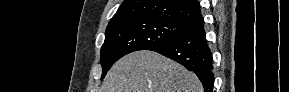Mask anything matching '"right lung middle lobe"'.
<instances>
[{
  "instance_id": "1",
  "label": "right lung middle lobe",
  "mask_w": 289,
  "mask_h": 92,
  "mask_svg": "<svg viewBox=\"0 0 289 92\" xmlns=\"http://www.w3.org/2000/svg\"><path fill=\"white\" fill-rule=\"evenodd\" d=\"M186 28L185 24L157 18H130L108 25L101 48V79L112 64L124 55L168 42Z\"/></svg>"
}]
</instances>
